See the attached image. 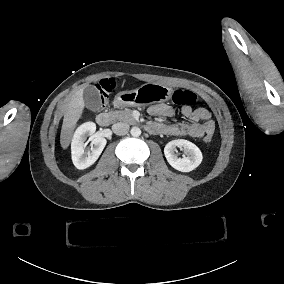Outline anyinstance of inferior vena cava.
Listing matches in <instances>:
<instances>
[{"instance_id":"inferior-vena-cava-1","label":"inferior vena cava","mask_w":284,"mask_h":284,"mask_svg":"<svg viewBox=\"0 0 284 284\" xmlns=\"http://www.w3.org/2000/svg\"><path fill=\"white\" fill-rule=\"evenodd\" d=\"M112 131L117 135H125L129 131V125L124 122H118L112 125Z\"/></svg>"}]
</instances>
